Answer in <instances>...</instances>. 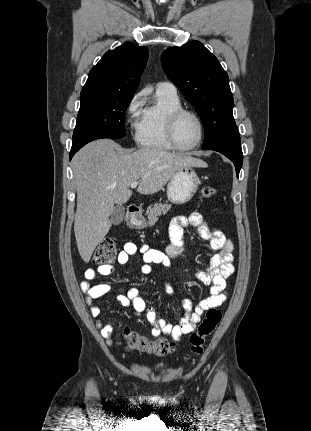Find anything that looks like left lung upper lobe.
Wrapping results in <instances>:
<instances>
[{"instance_id": "5c2ea615", "label": "left lung upper lobe", "mask_w": 311, "mask_h": 431, "mask_svg": "<svg viewBox=\"0 0 311 431\" xmlns=\"http://www.w3.org/2000/svg\"><path fill=\"white\" fill-rule=\"evenodd\" d=\"M161 62L168 78L201 118L205 128L202 149L240 143L229 77L217 58L202 43L192 41L165 50Z\"/></svg>"}]
</instances>
